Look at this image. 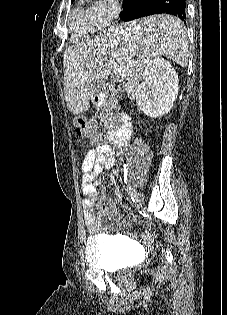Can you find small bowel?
Instances as JSON below:
<instances>
[{"label":"small bowel","instance_id":"small-bowel-1","mask_svg":"<svg viewBox=\"0 0 227 315\" xmlns=\"http://www.w3.org/2000/svg\"><path fill=\"white\" fill-rule=\"evenodd\" d=\"M79 143V140H77ZM114 151L109 145H99L89 149L81 164V190L84 195L82 200L83 217L85 229L89 234H97L101 230V223L98 220V212L102 210L100 202L106 201L107 206L103 213L113 217L117 213L116 204L105 195H98V174L103 170L111 169L115 164ZM99 203H96V202ZM125 214L136 223H141L138 215L131 209L125 207Z\"/></svg>","mask_w":227,"mask_h":315}]
</instances>
